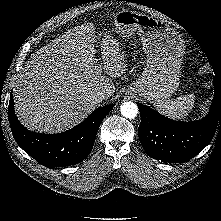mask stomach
<instances>
[{
    "mask_svg": "<svg viewBox=\"0 0 221 221\" xmlns=\"http://www.w3.org/2000/svg\"><path fill=\"white\" fill-rule=\"evenodd\" d=\"M113 31L123 38L139 35L147 56L141 76L127 90L151 103L167 101L178 89L185 53L181 35L167 23L149 15L123 10L113 17Z\"/></svg>",
    "mask_w": 221,
    "mask_h": 221,
    "instance_id": "1",
    "label": "stomach"
}]
</instances>
